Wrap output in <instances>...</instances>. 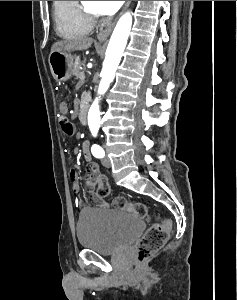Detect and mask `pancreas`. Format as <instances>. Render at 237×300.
<instances>
[{
	"instance_id": "pancreas-1",
	"label": "pancreas",
	"mask_w": 237,
	"mask_h": 300,
	"mask_svg": "<svg viewBox=\"0 0 237 300\" xmlns=\"http://www.w3.org/2000/svg\"><path fill=\"white\" fill-rule=\"evenodd\" d=\"M78 63H79V61H77V59H76L74 65H73V75H74V77H76V79L82 78V76L80 75L82 72H81V69H80Z\"/></svg>"
}]
</instances>
